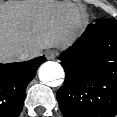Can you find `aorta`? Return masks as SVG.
I'll list each match as a JSON object with an SVG mask.
<instances>
[{"instance_id":"obj_1","label":"aorta","mask_w":117,"mask_h":117,"mask_svg":"<svg viewBox=\"0 0 117 117\" xmlns=\"http://www.w3.org/2000/svg\"><path fill=\"white\" fill-rule=\"evenodd\" d=\"M64 75L65 73L63 67L59 63L53 61L43 63L38 71L39 79L43 83L64 78Z\"/></svg>"}]
</instances>
